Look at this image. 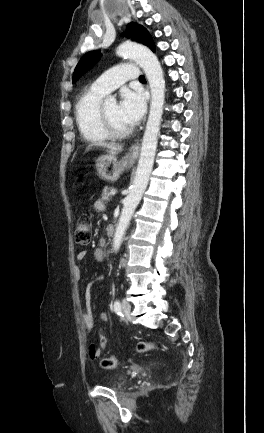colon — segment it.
Instances as JSON below:
<instances>
[{"mask_svg": "<svg viewBox=\"0 0 264 433\" xmlns=\"http://www.w3.org/2000/svg\"><path fill=\"white\" fill-rule=\"evenodd\" d=\"M92 237V226L90 217L86 214L79 218L77 227L74 233L75 242L81 246L88 245ZM106 344V338L99 330V346L103 349ZM158 348V345L152 341H140L137 344L138 352L144 353L153 351ZM101 366L105 369H114L119 365V359L115 356H106L101 359Z\"/></svg>", "mask_w": 264, "mask_h": 433, "instance_id": "colon-1", "label": "colon"}]
</instances>
